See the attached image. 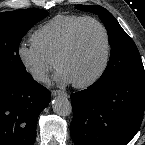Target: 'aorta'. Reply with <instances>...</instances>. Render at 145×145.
<instances>
[{
	"label": "aorta",
	"instance_id": "obj_1",
	"mask_svg": "<svg viewBox=\"0 0 145 145\" xmlns=\"http://www.w3.org/2000/svg\"><path fill=\"white\" fill-rule=\"evenodd\" d=\"M54 112L61 116H68L72 112V105L69 99L64 95H58L52 100Z\"/></svg>",
	"mask_w": 145,
	"mask_h": 145
}]
</instances>
